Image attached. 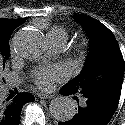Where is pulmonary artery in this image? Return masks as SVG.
<instances>
[{
  "label": "pulmonary artery",
  "instance_id": "e3ab8cb5",
  "mask_svg": "<svg viewBox=\"0 0 125 125\" xmlns=\"http://www.w3.org/2000/svg\"><path fill=\"white\" fill-rule=\"evenodd\" d=\"M49 46L53 52L61 51L65 46V40L61 37L47 36ZM84 104V102H82Z\"/></svg>",
  "mask_w": 125,
  "mask_h": 125
}]
</instances>
